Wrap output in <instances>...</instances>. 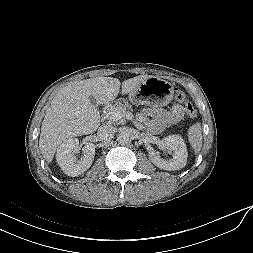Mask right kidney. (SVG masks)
<instances>
[{"label": "right kidney", "instance_id": "ca27d5eb", "mask_svg": "<svg viewBox=\"0 0 253 253\" xmlns=\"http://www.w3.org/2000/svg\"><path fill=\"white\" fill-rule=\"evenodd\" d=\"M79 140L77 138H69L65 140L57 148L56 160L63 172L68 176H79L90 168L94 161L95 146L87 143L82 151L83 158L79 161L75 159V153L78 152Z\"/></svg>", "mask_w": 253, "mask_h": 253}]
</instances>
